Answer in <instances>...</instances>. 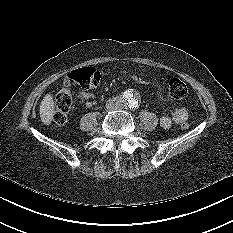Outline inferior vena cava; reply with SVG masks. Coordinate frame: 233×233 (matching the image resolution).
Wrapping results in <instances>:
<instances>
[{"mask_svg":"<svg viewBox=\"0 0 233 233\" xmlns=\"http://www.w3.org/2000/svg\"><path fill=\"white\" fill-rule=\"evenodd\" d=\"M106 107L110 110H118L123 107V104L121 100L113 98L107 102Z\"/></svg>","mask_w":233,"mask_h":233,"instance_id":"602c4592","label":"inferior vena cava"}]
</instances>
